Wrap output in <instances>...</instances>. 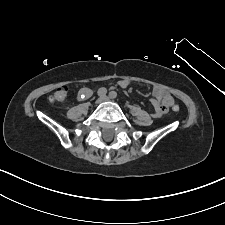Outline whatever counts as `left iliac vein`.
Wrapping results in <instances>:
<instances>
[{"label": "left iliac vein", "mask_w": 225, "mask_h": 225, "mask_svg": "<svg viewBox=\"0 0 225 225\" xmlns=\"http://www.w3.org/2000/svg\"><path fill=\"white\" fill-rule=\"evenodd\" d=\"M103 101H109V97H104Z\"/></svg>", "instance_id": "obj_1"}]
</instances>
